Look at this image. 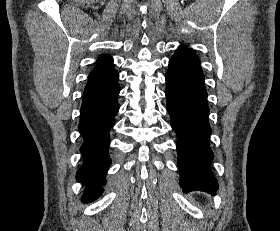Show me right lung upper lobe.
Instances as JSON below:
<instances>
[{
    "instance_id": "cb5924a9",
    "label": "right lung upper lobe",
    "mask_w": 280,
    "mask_h": 231,
    "mask_svg": "<svg viewBox=\"0 0 280 231\" xmlns=\"http://www.w3.org/2000/svg\"><path fill=\"white\" fill-rule=\"evenodd\" d=\"M118 79L119 75L113 67L112 57L109 54L100 56L95 68L89 73L83 97H92L118 86Z\"/></svg>"
}]
</instances>
